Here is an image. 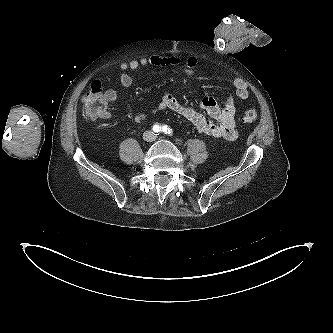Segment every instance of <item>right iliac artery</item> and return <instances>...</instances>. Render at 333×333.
<instances>
[{
	"label": "right iliac artery",
	"instance_id": "1",
	"mask_svg": "<svg viewBox=\"0 0 333 333\" xmlns=\"http://www.w3.org/2000/svg\"><path fill=\"white\" fill-rule=\"evenodd\" d=\"M152 129L155 133H158L160 131L161 127L158 125H154Z\"/></svg>",
	"mask_w": 333,
	"mask_h": 333
}]
</instances>
